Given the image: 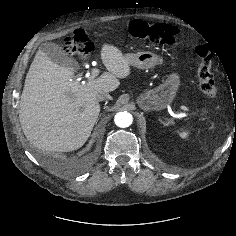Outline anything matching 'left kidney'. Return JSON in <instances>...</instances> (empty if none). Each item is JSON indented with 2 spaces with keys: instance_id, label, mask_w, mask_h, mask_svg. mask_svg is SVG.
I'll return each instance as SVG.
<instances>
[{
  "instance_id": "5707ae66",
  "label": "left kidney",
  "mask_w": 236,
  "mask_h": 236,
  "mask_svg": "<svg viewBox=\"0 0 236 236\" xmlns=\"http://www.w3.org/2000/svg\"><path fill=\"white\" fill-rule=\"evenodd\" d=\"M179 135L181 138L186 139L188 137V132L187 131H181L179 132Z\"/></svg>"
}]
</instances>
